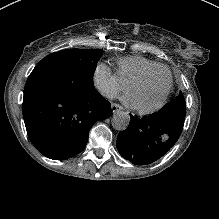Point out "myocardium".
Here are the masks:
<instances>
[{
    "label": "myocardium",
    "instance_id": "myocardium-1",
    "mask_svg": "<svg viewBox=\"0 0 219 219\" xmlns=\"http://www.w3.org/2000/svg\"><path fill=\"white\" fill-rule=\"evenodd\" d=\"M162 70H167L168 74H169V82L167 87L164 90V93L162 94L161 98L159 100H157L155 103L151 104V105H142V104H138L135 103L134 101V105L132 107H135L136 109L140 110V111H153L157 108H159L168 98L172 85H173V74L171 72V70L166 67V66H159L156 70L154 71H150V72H146L142 75H140L138 78H136L127 88V95L132 97V91L134 89V87L140 83H142L143 81H146L154 76H156L157 74H159Z\"/></svg>",
    "mask_w": 219,
    "mask_h": 219
}]
</instances>
